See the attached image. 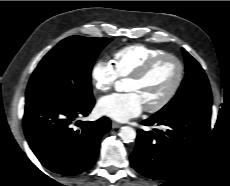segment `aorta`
<instances>
[{
	"mask_svg": "<svg viewBox=\"0 0 230 186\" xmlns=\"http://www.w3.org/2000/svg\"><path fill=\"white\" fill-rule=\"evenodd\" d=\"M119 134L125 143H131L136 138V131L130 126L122 127Z\"/></svg>",
	"mask_w": 230,
	"mask_h": 186,
	"instance_id": "762f6f07",
	"label": "aorta"
}]
</instances>
